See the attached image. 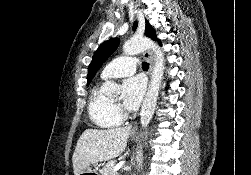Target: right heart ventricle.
Here are the masks:
<instances>
[{
  "label": "right heart ventricle",
  "instance_id": "e07e8e85",
  "mask_svg": "<svg viewBox=\"0 0 251 175\" xmlns=\"http://www.w3.org/2000/svg\"><path fill=\"white\" fill-rule=\"evenodd\" d=\"M87 112L90 120L97 127L113 128L120 123V118L116 115L111 102L103 96L99 84L91 89Z\"/></svg>",
  "mask_w": 251,
  "mask_h": 175
}]
</instances>
